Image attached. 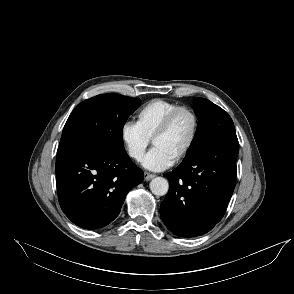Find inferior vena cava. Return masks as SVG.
<instances>
[{
  "label": "inferior vena cava",
  "instance_id": "1",
  "mask_svg": "<svg viewBox=\"0 0 294 294\" xmlns=\"http://www.w3.org/2000/svg\"><path fill=\"white\" fill-rule=\"evenodd\" d=\"M135 157L139 158V157H141V155L140 154H137V155H135Z\"/></svg>",
  "mask_w": 294,
  "mask_h": 294
}]
</instances>
